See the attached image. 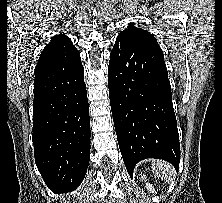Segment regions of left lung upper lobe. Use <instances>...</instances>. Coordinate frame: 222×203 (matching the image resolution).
Wrapping results in <instances>:
<instances>
[{
    "label": "left lung upper lobe",
    "instance_id": "1",
    "mask_svg": "<svg viewBox=\"0 0 222 203\" xmlns=\"http://www.w3.org/2000/svg\"><path fill=\"white\" fill-rule=\"evenodd\" d=\"M121 36H142L143 38L147 39L149 42H151L152 44H155L156 46L160 48V46L157 43L156 38L152 34H150L148 31L143 30L141 28L129 26L127 29H125L118 35V37H121Z\"/></svg>",
    "mask_w": 222,
    "mask_h": 203
}]
</instances>
